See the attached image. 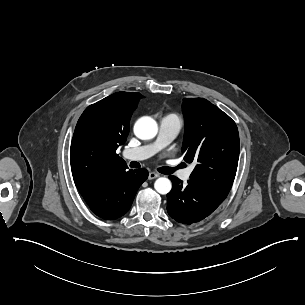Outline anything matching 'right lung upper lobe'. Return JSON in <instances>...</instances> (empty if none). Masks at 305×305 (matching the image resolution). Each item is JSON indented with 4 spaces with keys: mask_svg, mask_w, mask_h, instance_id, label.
<instances>
[{
    "mask_svg": "<svg viewBox=\"0 0 305 305\" xmlns=\"http://www.w3.org/2000/svg\"><path fill=\"white\" fill-rule=\"evenodd\" d=\"M140 93L117 92L90 105L80 116L70 148L73 179L81 194L127 169L116 153L129 133V123Z\"/></svg>",
    "mask_w": 305,
    "mask_h": 305,
    "instance_id": "1",
    "label": "right lung upper lobe"
}]
</instances>
